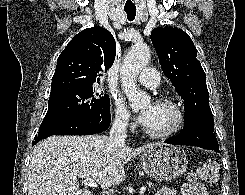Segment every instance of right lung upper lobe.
<instances>
[{
	"label": "right lung upper lobe",
	"mask_w": 245,
	"mask_h": 195,
	"mask_svg": "<svg viewBox=\"0 0 245 195\" xmlns=\"http://www.w3.org/2000/svg\"><path fill=\"white\" fill-rule=\"evenodd\" d=\"M115 55V39L107 29L94 26L81 31L57 59L51 92L93 86L100 80L102 72L112 66Z\"/></svg>",
	"instance_id": "obj_1"
}]
</instances>
